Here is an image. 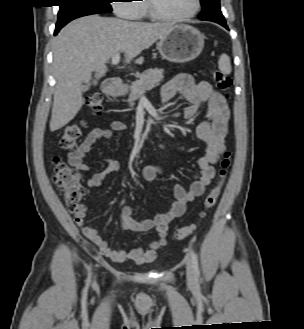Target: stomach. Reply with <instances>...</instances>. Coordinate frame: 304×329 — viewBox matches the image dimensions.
<instances>
[{"mask_svg":"<svg viewBox=\"0 0 304 329\" xmlns=\"http://www.w3.org/2000/svg\"><path fill=\"white\" fill-rule=\"evenodd\" d=\"M204 47V36L190 25H175L160 38L158 50L167 61L185 63L195 59ZM109 95L119 96L126 93L123 85L113 83L105 88Z\"/></svg>","mask_w":304,"mask_h":329,"instance_id":"1","label":"stomach"}]
</instances>
